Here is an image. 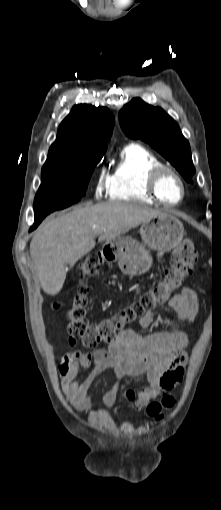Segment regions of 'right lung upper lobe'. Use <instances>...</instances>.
I'll return each instance as SVG.
<instances>
[{
	"label": "right lung upper lobe",
	"instance_id": "right-lung-upper-lobe-1",
	"mask_svg": "<svg viewBox=\"0 0 221 510\" xmlns=\"http://www.w3.org/2000/svg\"><path fill=\"white\" fill-rule=\"evenodd\" d=\"M113 125L114 116L107 108L75 105L61 122L47 160L107 149Z\"/></svg>",
	"mask_w": 221,
	"mask_h": 510
}]
</instances>
